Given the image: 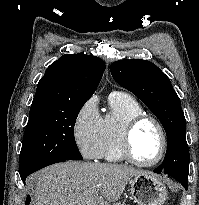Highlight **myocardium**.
Segmentation results:
<instances>
[{
  "mask_svg": "<svg viewBox=\"0 0 199 205\" xmlns=\"http://www.w3.org/2000/svg\"><path fill=\"white\" fill-rule=\"evenodd\" d=\"M144 122H150L152 124L155 125V127L157 128L159 135H160V139H161V149L159 152V155L157 156V158L151 162H142L140 160H138L132 151V136L134 131L136 130V128L144 123ZM120 151L124 157L125 160H127L128 162L139 166V167H151V166H155L158 163H160L167 151V147H168V140H167V135L165 132V129L163 127V125L161 124V122L148 114H139L131 119H129L125 125L123 126V129L121 131V135H120Z\"/></svg>",
  "mask_w": 199,
  "mask_h": 205,
  "instance_id": "obj_1",
  "label": "myocardium"
}]
</instances>
